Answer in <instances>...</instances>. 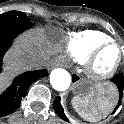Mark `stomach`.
Returning a JSON list of instances; mask_svg holds the SVG:
<instances>
[{"label":"stomach","instance_id":"0dacf381","mask_svg":"<svg viewBox=\"0 0 124 124\" xmlns=\"http://www.w3.org/2000/svg\"><path fill=\"white\" fill-rule=\"evenodd\" d=\"M74 94L79 97L96 96L97 94H103V95L106 94L113 100V102L115 100V90L112 86L94 85L85 79H81L78 82H76L74 86Z\"/></svg>","mask_w":124,"mask_h":124}]
</instances>
